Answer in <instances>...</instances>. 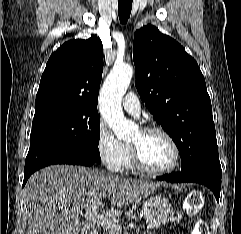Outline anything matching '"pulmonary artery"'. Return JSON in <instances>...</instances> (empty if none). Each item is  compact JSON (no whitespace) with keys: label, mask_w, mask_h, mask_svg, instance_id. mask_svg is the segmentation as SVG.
<instances>
[{"label":"pulmonary artery","mask_w":241,"mask_h":234,"mask_svg":"<svg viewBox=\"0 0 241 234\" xmlns=\"http://www.w3.org/2000/svg\"><path fill=\"white\" fill-rule=\"evenodd\" d=\"M123 107L129 114L138 117L141 112L140 100L134 92H128L123 99Z\"/></svg>","instance_id":"1"}]
</instances>
